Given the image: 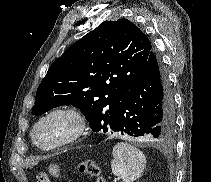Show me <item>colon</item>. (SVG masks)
Returning a JSON list of instances; mask_svg holds the SVG:
<instances>
[{
	"label": "colon",
	"instance_id": "obj_1",
	"mask_svg": "<svg viewBox=\"0 0 211 182\" xmlns=\"http://www.w3.org/2000/svg\"><path fill=\"white\" fill-rule=\"evenodd\" d=\"M77 170L80 174L89 175L96 178V182H105V179L101 175L98 164L93 160H86L81 162ZM60 170L57 166L51 165L48 168V172L39 173L36 177V182H51L50 176L58 177Z\"/></svg>",
	"mask_w": 211,
	"mask_h": 182
}]
</instances>
